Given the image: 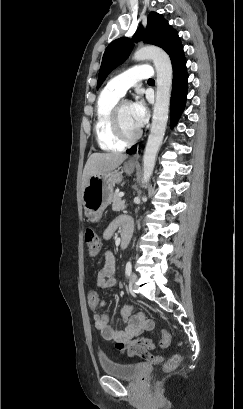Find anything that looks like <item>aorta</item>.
Segmentation results:
<instances>
[{"mask_svg":"<svg viewBox=\"0 0 243 409\" xmlns=\"http://www.w3.org/2000/svg\"><path fill=\"white\" fill-rule=\"evenodd\" d=\"M136 61L150 59L157 73V92L152 117L151 131L143 156V182H148L154 167L157 153L163 141L166 130L173 70L168 54L159 47L145 46L136 50L133 55Z\"/></svg>","mask_w":243,"mask_h":409,"instance_id":"762f6f07","label":"aorta"}]
</instances>
